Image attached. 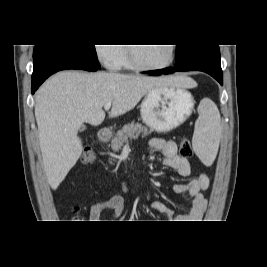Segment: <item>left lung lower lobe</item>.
Masks as SVG:
<instances>
[{
    "label": "left lung lower lobe",
    "instance_id": "left-lung-lower-lobe-1",
    "mask_svg": "<svg viewBox=\"0 0 267 267\" xmlns=\"http://www.w3.org/2000/svg\"><path fill=\"white\" fill-rule=\"evenodd\" d=\"M176 71H202L208 73L223 85V74L220 62V50L218 45L202 48L193 53L183 64L174 68H165L147 71L152 75L171 74Z\"/></svg>",
    "mask_w": 267,
    "mask_h": 267
}]
</instances>
